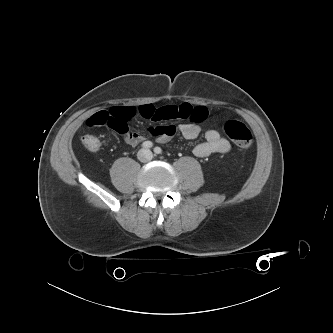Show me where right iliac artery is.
<instances>
[{
	"instance_id": "1",
	"label": "right iliac artery",
	"mask_w": 333,
	"mask_h": 333,
	"mask_svg": "<svg viewBox=\"0 0 333 333\" xmlns=\"http://www.w3.org/2000/svg\"><path fill=\"white\" fill-rule=\"evenodd\" d=\"M142 147L146 148V149L152 148L153 147V143L151 141H145V142L142 143Z\"/></svg>"
}]
</instances>
